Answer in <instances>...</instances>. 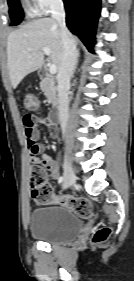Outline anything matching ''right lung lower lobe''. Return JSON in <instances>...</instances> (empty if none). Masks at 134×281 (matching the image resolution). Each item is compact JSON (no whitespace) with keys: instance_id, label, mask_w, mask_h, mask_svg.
<instances>
[{"instance_id":"1","label":"right lung lower lobe","mask_w":134,"mask_h":281,"mask_svg":"<svg viewBox=\"0 0 134 281\" xmlns=\"http://www.w3.org/2000/svg\"><path fill=\"white\" fill-rule=\"evenodd\" d=\"M66 23L70 31L80 37L92 51L95 43L96 24L100 14V0H63Z\"/></svg>"}]
</instances>
